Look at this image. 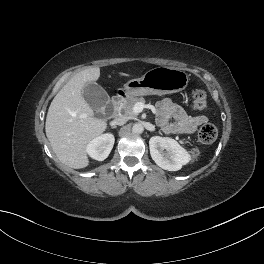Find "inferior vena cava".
I'll list each match as a JSON object with an SVG mask.
<instances>
[{"mask_svg":"<svg viewBox=\"0 0 264 264\" xmlns=\"http://www.w3.org/2000/svg\"><path fill=\"white\" fill-rule=\"evenodd\" d=\"M126 122H127V118H126V117H119V118H116V119H114L113 121H111V122H110V125H111V126H116V125L122 126V125H124Z\"/></svg>","mask_w":264,"mask_h":264,"instance_id":"inferior-vena-cava-1","label":"inferior vena cava"}]
</instances>
